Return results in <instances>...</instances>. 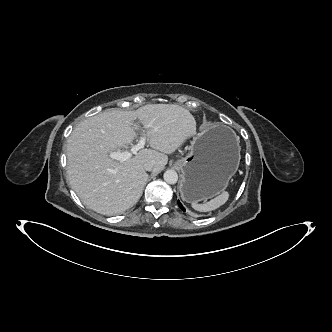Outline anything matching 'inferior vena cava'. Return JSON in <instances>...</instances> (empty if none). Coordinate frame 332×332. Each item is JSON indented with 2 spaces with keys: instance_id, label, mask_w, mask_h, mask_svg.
<instances>
[{
  "instance_id": "obj_1",
  "label": "inferior vena cava",
  "mask_w": 332,
  "mask_h": 332,
  "mask_svg": "<svg viewBox=\"0 0 332 332\" xmlns=\"http://www.w3.org/2000/svg\"><path fill=\"white\" fill-rule=\"evenodd\" d=\"M153 168H154V164H153L152 162H146V163L144 164V169H145L146 171H152Z\"/></svg>"
}]
</instances>
